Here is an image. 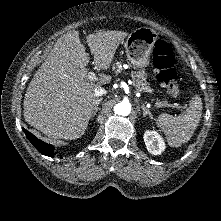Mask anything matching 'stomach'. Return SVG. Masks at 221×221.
Returning a JSON list of instances; mask_svg holds the SVG:
<instances>
[{
  "label": "stomach",
  "instance_id": "obj_1",
  "mask_svg": "<svg viewBox=\"0 0 221 221\" xmlns=\"http://www.w3.org/2000/svg\"><path fill=\"white\" fill-rule=\"evenodd\" d=\"M158 39L156 31L149 27H141L129 34L125 41L126 55L130 63L143 70L150 63V54Z\"/></svg>",
  "mask_w": 221,
  "mask_h": 221
}]
</instances>
